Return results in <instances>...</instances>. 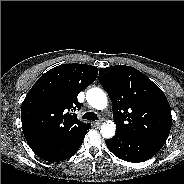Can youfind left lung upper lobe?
Returning a JSON list of instances; mask_svg holds the SVG:
<instances>
[{
	"label": "left lung upper lobe",
	"mask_w": 184,
	"mask_h": 184,
	"mask_svg": "<svg viewBox=\"0 0 184 184\" xmlns=\"http://www.w3.org/2000/svg\"><path fill=\"white\" fill-rule=\"evenodd\" d=\"M99 82L113 104L117 131L159 151L172 125L171 108L163 91L131 66L101 68Z\"/></svg>",
	"instance_id": "1"
}]
</instances>
